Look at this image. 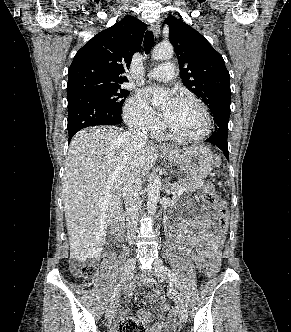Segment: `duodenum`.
<instances>
[{
    "mask_svg": "<svg viewBox=\"0 0 291 332\" xmlns=\"http://www.w3.org/2000/svg\"><path fill=\"white\" fill-rule=\"evenodd\" d=\"M124 215L118 214L116 218L114 219L111 227L112 235L116 240H122L124 236Z\"/></svg>",
    "mask_w": 291,
    "mask_h": 332,
    "instance_id": "410a0bca",
    "label": "duodenum"
}]
</instances>
